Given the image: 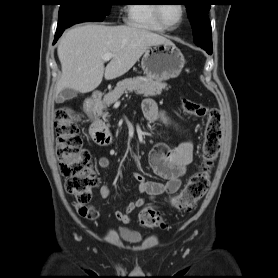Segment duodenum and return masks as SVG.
Masks as SVG:
<instances>
[{
    "mask_svg": "<svg viewBox=\"0 0 278 278\" xmlns=\"http://www.w3.org/2000/svg\"><path fill=\"white\" fill-rule=\"evenodd\" d=\"M103 97V92L95 90L91 96L85 101V112L91 121L90 135L99 144H107L111 141L110 133L104 124L97 117V107Z\"/></svg>",
    "mask_w": 278,
    "mask_h": 278,
    "instance_id": "obj_1",
    "label": "duodenum"
}]
</instances>
